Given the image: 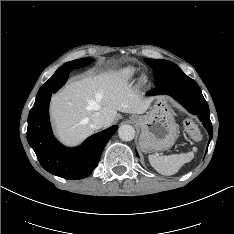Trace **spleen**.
I'll use <instances>...</instances> for the list:
<instances>
[{
    "label": "spleen",
    "mask_w": 234,
    "mask_h": 234,
    "mask_svg": "<svg viewBox=\"0 0 234 234\" xmlns=\"http://www.w3.org/2000/svg\"><path fill=\"white\" fill-rule=\"evenodd\" d=\"M194 157L193 152L172 154L168 156H160L152 154L148 156L151 166L162 175H173L187 162Z\"/></svg>",
    "instance_id": "spleen-1"
}]
</instances>
